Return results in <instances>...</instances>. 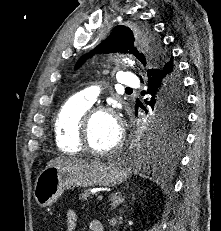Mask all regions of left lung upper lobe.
I'll return each mask as SVG.
<instances>
[{"instance_id":"5c2ea615","label":"left lung upper lobe","mask_w":221,"mask_h":231,"mask_svg":"<svg viewBox=\"0 0 221 231\" xmlns=\"http://www.w3.org/2000/svg\"><path fill=\"white\" fill-rule=\"evenodd\" d=\"M145 51V55L141 52ZM97 52H125L133 54L144 66L162 65L167 56L164 54L159 38L149 28H142L133 31L126 26L118 25L111 32L110 36L103 41L97 48ZM86 59L83 56L77 66ZM151 123L149 132L152 135L162 137L168 142H181V127L185 122V96L183 92L174 104L170 112L161 115L152 108Z\"/></svg>"}]
</instances>
